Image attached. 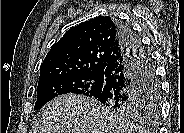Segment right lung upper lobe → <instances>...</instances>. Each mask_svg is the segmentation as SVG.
<instances>
[{
    "label": "right lung upper lobe",
    "instance_id": "cb5924a9",
    "mask_svg": "<svg viewBox=\"0 0 184 133\" xmlns=\"http://www.w3.org/2000/svg\"><path fill=\"white\" fill-rule=\"evenodd\" d=\"M117 20L99 16L69 29L55 43L40 67L38 87L64 77L103 75L119 47Z\"/></svg>",
    "mask_w": 184,
    "mask_h": 133
}]
</instances>
